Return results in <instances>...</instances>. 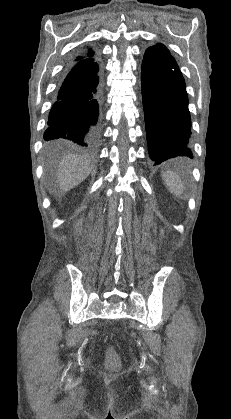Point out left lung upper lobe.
Returning a JSON list of instances; mask_svg holds the SVG:
<instances>
[{
	"label": "left lung upper lobe",
	"mask_w": 231,
	"mask_h": 419,
	"mask_svg": "<svg viewBox=\"0 0 231 419\" xmlns=\"http://www.w3.org/2000/svg\"><path fill=\"white\" fill-rule=\"evenodd\" d=\"M147 51H156V52H163V53L170 54L169 50L163 44H157L152 47H149Z\"/></svg>",
	"instance_id": "left-lung-upper-lobe-1"
}]
</instances>
